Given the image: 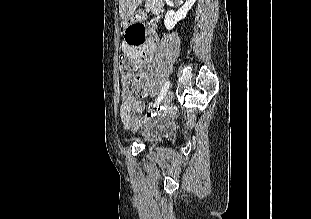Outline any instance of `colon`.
I'll return each instance as SVG.
<instances>
[{
  "mask_svg": "<svg viewBox=\"0 0 311 219\" xmlns=\"http://www.w3.org/2000/svg\"><path fill=\"white\" fill-rule=\"evenodd\" d=\"M144 27L142 25L136 24L130 26L126 30V41L129 43H135L140 40L142 33L144 31ZM136 68V63L132 58L126 55H121L119 58V70L122 74V77H125L131 74ZM147 81L142 78L138 77L136 81L133 83V89L136 94L138 95H145L147 88Z\"/></svg>",
  "mask_w": 311,
  "mask_h": 219,
  "instance_id": "colon-1",
  "label": "colon"
}]
</instances>
